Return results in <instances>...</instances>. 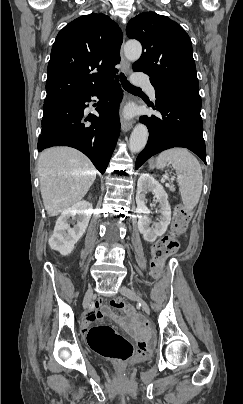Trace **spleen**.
Here are the masks:
<instances>
[{"label": "spleen", "instance_id": "spleen-1", "mask_svg": "<svg viewBox=\"0 0 243 404\" xmlns=\"http://www.w3.org/2000/svg\"><path fill=\"white\" fill-rule=\"evenodd\" d=\"M167 164H172L176 170L182 204L186 212H191L198 204L202 192L201 166L186 148H172L161 152L156 158V166L162 170Z\"/></svg>", "mask_w": 243, "mask_h": 404}]
</instances>
